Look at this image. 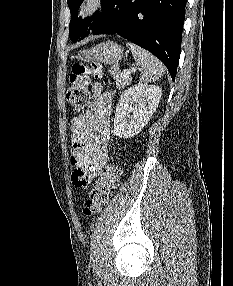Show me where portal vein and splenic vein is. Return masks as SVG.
I'll return each instance as SVG.
<instances>
[{"instance_id": "obj_1", "label": "portal vein and splenic vein", "mask_w": 233, "mask_h": 286, "mask_svg": "<svg viewBox=\"0 0 233 286\" xmlns=\"http://www.w3.org/2000/svg\"><path fill=\"white\" fill-rule=\"evenodd\" d=\"M134 71H132V70H125L123 74H124L125 77H129L131 75V73L134 72Z\"/></svg>"}]
</instances>
